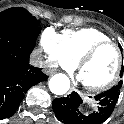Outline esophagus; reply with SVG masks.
Segmentation results:
<instances>
[{
	"label": "esophagus",
	"instance_id": "1",
	"mask_svg": "<svg viewBox=\"0 0 124 124\" xmlns=\"http://www.w3.org/2000/svg\"><path fill=\"white\" fill-rule=\"evenodd\" d=\"M50 73H53V70H51V71H49ZM70 91L72 92V91H76V92H78V93H80L77 89H75L74 87H72L71 89H70Z\"/></svg>",
	"mask_w": 124,
	"mask_h": 124
}]
</instances>
